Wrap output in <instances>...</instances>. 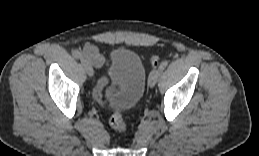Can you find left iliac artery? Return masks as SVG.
Here are the masks:
<instances>
[{
	"mask_svg": "<svg viewBox=\"0 0 259 156\" xmlns=\"http://www.w3.org/2000/svg\"><path fill=\"white\" fill-rule=\"evenodd\" d=\"M168 63H169V61L165 60V61H163V62L160 64V66H159L160 72H162V71L166 68V66L168 65Z\"/></svg>",
	"mask_w": 259,
	"mask_h": 156,
	"instance_id": "1",
	"label": "left iliac artery"
}]
</instances>
